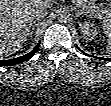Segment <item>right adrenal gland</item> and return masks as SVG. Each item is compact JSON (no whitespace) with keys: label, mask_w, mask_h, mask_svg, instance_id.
<instances>
[{"label":"right adrenal gland","mask_w":111,"mask_h":106,"mask_svg":"<svg viewBox=\"0 0 111 106\" xmlns=\"http://www.w3.org/2000/svg\"><path fill=\"white\" fill-rule=\"evenodd\" d=\"M38 21H34L32 26H31V30H30V37H32L33 31L35 29V26L37 25Z\"/></svg>","instance_id":"obj_1"}]
</instances>
